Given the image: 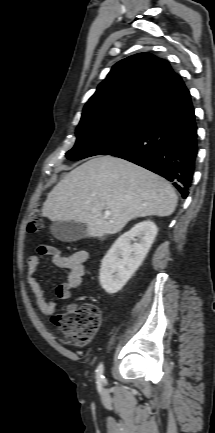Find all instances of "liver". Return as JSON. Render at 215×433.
I'll list each match as a JSON object with an SVG mask.
<instances>
[{"instance_id": "liver-1", "label": "liver", "mask_w": 215, "mask_h": 433, "mask_svg": "<svg viewBox=\"0 0 215 433\" xmlns=\"http://www.w3.org/2000/svg\"><path fill=\"white\" fill-rule=\"evenodd\" d=\"M178 202L171 184L134 163L110 155L76 167L53 188L42 214L86 224L87 235L116 234L132 219L170 216ZM110 211L105 217L103 211Z\"/></svg>"}]
</instances>
